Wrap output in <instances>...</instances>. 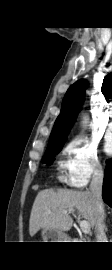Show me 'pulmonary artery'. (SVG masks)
Returning <instances> with one entry per match:
<instances>
[{"instance_id": "1", "label": "pulmonary artery", "mask_w": 112, "mask_h": 270, "mask_svg": "<svg viewBox=\"0 0 112 270\" xmlns=\"http://www.w3.org/2000/svg\"><path fill=\"white\" fill-rule=\"evenodd\" d=\"M110 117H111V120H110L109 123H108V129H109L110 131H112V111L110 112Z\"/></svg>"}]
</instances>
